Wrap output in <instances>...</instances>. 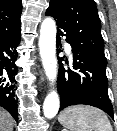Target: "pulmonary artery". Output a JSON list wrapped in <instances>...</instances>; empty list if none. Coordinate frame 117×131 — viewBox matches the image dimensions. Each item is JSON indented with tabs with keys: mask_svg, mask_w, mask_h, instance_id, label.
Listing matches in <instances>:
<instances>
[{
	"mask_svg": "<svg viewBox=\"0 0 117 131\" xmlns=\"http://www.w3.org/2000/svg\"><path fill=\"white\" fill-rule=\"evenodd\" d=\"M65 49H66V51L68 52V53H71V47H70V45H66L65 46Z\"/></svg>",
	"mask_w": 117,
	"mask_h": 131,
	"instance_id": "pulmonary-artery-1",
	"label": "pulmonary artery"
}]
</instances>
